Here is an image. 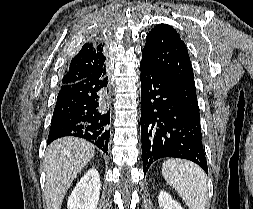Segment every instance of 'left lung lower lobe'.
I'll use <instances>...</instances> for the list:
<instances>
[{"label": "left lung lower lobe", "instance_id": "1", "mask_svg": "<svg viewBox=\"0 0 253 209\" xmlns=\"http://www.w3.org/2000/svg\"><path fill=\"white\" fill-rule=\"evenodd\" d=\"M141 69V141L144 176L163 157L195 162L206 173L200 120L183 105L171 84L149 66Z\"/></svg>", "mask_w": 253, "mask_h": 209}]
</instances>
